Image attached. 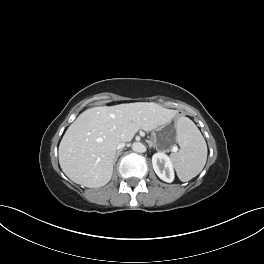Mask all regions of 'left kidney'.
I'll return each instance as SVG.
<instances>
[{"label": "left kidney", "mask_w": 264, "mask_h": 264, "mask_svg": "<svg viewBox=\"0 0 264 264\" xmlns=\"http://www.w3.org/2000/svg\"><path fill=\"white\" fill-rule=\"evenodd\" d=\"M153 169L157 176L168 183L174 180V171L171 159L164 153L158 152L152 156Z\"/></svg>", "instance_id": "1"}]
</instances>
